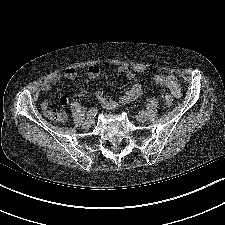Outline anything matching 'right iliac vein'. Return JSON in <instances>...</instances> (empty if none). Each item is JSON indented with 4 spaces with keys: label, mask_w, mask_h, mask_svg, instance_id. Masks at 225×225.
Masks as SVG:
<instances>
[{
    "label": "right iliac vein",
    "mask_w": 225,
    "mask_h": 225,
    "mask_svg": "<svg viewBox=\"0 0 225 225\" xmlns=\"http://www.w3.org/2000/svg\"><path fill=\"white\" fill-rule=\"evenodd\" d=\"M92 124H93V120L92 119H88V120H86L84 123H83V128H85V129H88V128H90L91 126H92Z\"/></svg>",
    "instance_id": "obj_1"
}]
</instances>
